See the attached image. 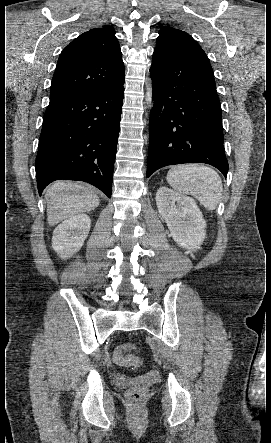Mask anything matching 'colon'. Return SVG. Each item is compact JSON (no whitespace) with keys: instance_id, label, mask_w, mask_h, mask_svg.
Segmentation results:
<instances>
[{"instance_id":"1","label":"colon","mask_w":271,"mask_h":443,"mask_svg":"<svg viewBox=\"0 0 271 443\" xmlns=\"http://www.w3.org/2000/svg\"><path fill=\"white\" fill-rule=\"evenodd\" d=\"M135 349L133 344H122L115 348L113 353V360L122 366H138L141 364V359L128 354L129 350ZM145 396V388L142 385L135 386L127 392V399L131 404H138Z\"/></svg>"}]
</instances>
